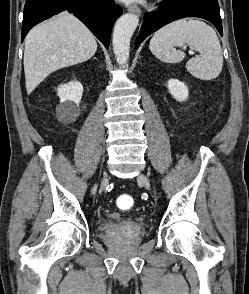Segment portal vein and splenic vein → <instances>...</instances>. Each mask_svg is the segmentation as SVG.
Segmentation results:
<instances>
[{
	"mask_svg": "<svg viewBox=\"0 0 249 294\" xmlns=\"http://www.w3.org/2000/svg\"><path fill=\"white\" fill-rule=\"evenodd\" d=\"M189 54H190V55H194V52H193V51H189Z\"/></svg>",
	"mask_w": 249,
	"mask_h": 294,
	"instance_id": "portal-vein-and-splenic-vein-1",
	"label": "portal vein and splenic vein"
}]
</instances>
